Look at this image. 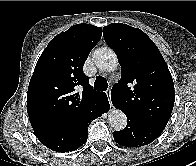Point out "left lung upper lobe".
Instances as JSON below:
<instances>
[{
	"label": "left lung upper lobe",
	"instance_id": "left-lung-upper-lobe-1",
	"mask_svg": "<svg viewBox=\"0 0 196 166\" xmlns=\"http://www.w3.org/2000/svg\"><path fill=\"white\" fill-rule=\"evenodd\" d=\"M103 35L121 65V79L111 90L113 105L127 117L164 130L175 91L159 49L142 30L127 24L112 23L103 28Z\"/></svg>",
	"mask_w": 196,
	"mask_h": 166
}]
</instances>
